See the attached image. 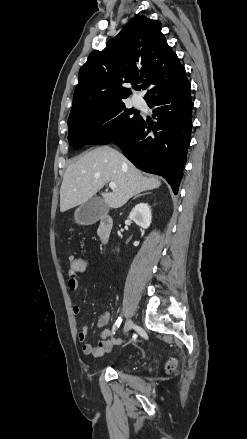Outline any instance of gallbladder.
Masks as SVG:
<instances>
[{
    "label": "gallbladder",
    "instance_id": "obj_1",
    "mask_svg": "<svg viewBox=\"0 0 247 439\" xmlns=\"http://www.w3.org/2000/svg\"><path fill=\"white\" fill-rule=\"evenodd\" d=\"M109 210L108 205L100 197H92L86 203L80 205L75 213V220L82 225H90L97 222Z\"/></svg>",
    "mask_w": 247,
    "mask_h": 439
}]
</instances>
